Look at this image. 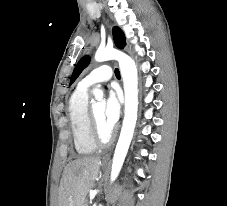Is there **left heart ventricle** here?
I'll return each mask as SVG.
<instances>
[{
  "mask_svg": "<svg viewBox=\"0 0 227 206\" xmlns=\"http://www.w3.org/2000/svg\"><path fill=\"white\" fill-rule=\"evenodd\" d=\"M104 107H105V103L103 101H99L93 105V111H94L101 135L103 137H107L111 132V130L107 127L104 121Z\"/></svg>",
  "mask_w": 227,
  "mask_h": 206,
  "instance_id": "left-heart-ventricle-1",
  "label": "left heart ventricle"
}]
</instances>
